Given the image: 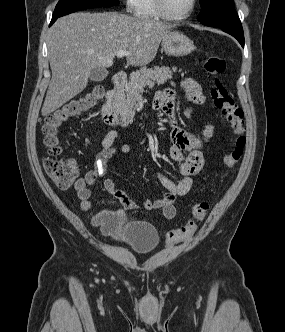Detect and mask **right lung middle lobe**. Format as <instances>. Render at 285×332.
<instances>
[{"mask_svg": "<svg viewBox=\"0 0 285 332\" xmlns=\"http://www.w3.org/2000/svg\"><path fill=\"white\" fill-rule=\"evenodd\" d=\"M118 4L119 0H59L53 16L61 17L83 9L116 6Z\"/></svg>", "mask_w": 285, "mask_h": 332, "instance_id": "right-lung-middle-lobe-1", "label": "right lung middle lobe"}]
</instances>
